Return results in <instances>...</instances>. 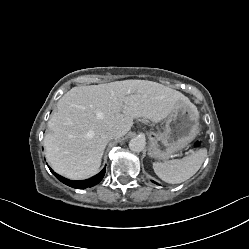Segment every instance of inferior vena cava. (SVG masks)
<instances>
[{"instance_id":"obj_1","label":"inferior vena cava","mask_w":249,"mask_h":249,"mask_svg":"<svg viewBox=\"0 0 249 249\" xmlns=\"http://www.w3.org/2000/svg\"><path fill=\"white\" fill-rule=\"evenodd\" d=\"M102 137L105 138L106 140H112V139H115V138H119L120 134L114 129H106L102 133Z\"/></svg>"}]
</instances>
